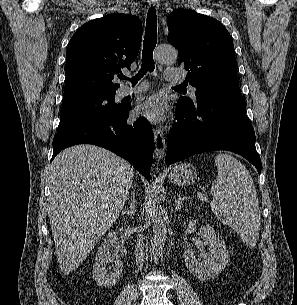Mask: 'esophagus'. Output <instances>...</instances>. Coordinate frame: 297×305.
<instances>
[{"mask_svg":"<svg viewBox=\"0 0 297 305\" xmlns=\"http://www.w3.org/2000/svg\"><path fill=\"white\" fill-rule=\"evenodd\" d=\"M160 0H148V3L158 8ZM166 144H165V136H164V129L157 128L154 130V155L156 160L159 162L163 159L165 154Z\"/></svg>","mask_w":297,"mask_h":305,"instance_id":"esophagus-1","label":"esophagus"}]
</instances>
